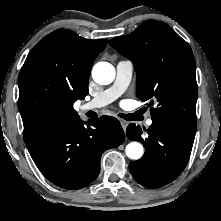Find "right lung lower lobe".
Here are the masks:
<instances>
[{
	"label": "right lung lower lobe",
	"instance_id": "1",
	"mask_svg": "<svg viewBox=\"0 0 221 221\" xmlns=\"http://www.w3.org/2000/svg\"><path fill=\"white\" fill-rule=\"evenodd\" d=\"M125 139L120 122L111 116L89 120L85 127L79 116L57 119L26 143L40 172L55 185L80 189L100 172L105 150L116 148Z\"/></svg>",
	"mask_w": 221,
	"mask_h": 221
}]
</instances>
